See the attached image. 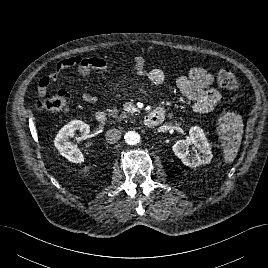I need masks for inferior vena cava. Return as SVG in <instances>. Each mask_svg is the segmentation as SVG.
<instances>
[{"label":"inferior vena cava","mask_w":268,"mask_h":268,"mask_svg":"<svg viewBox=\"0 0 268 268\" xmlns=\"http://www.w3.org/2000/svg\"><path fill=\"white\" fill-rule=\"evenodd\" d=\"M105 138L110 144L116 143L121 138V132L116 128H111L106 132Z\"/></svg>","instance_id":"obj_1"}]
</instances>
